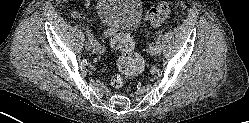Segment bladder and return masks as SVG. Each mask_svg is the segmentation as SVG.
I'll return each mask as SVG.
<instances>
[{"label": "bladder", "instance_id": "31cf9c89", "mask_svg": "<svg viewBox=\"0 0 249 123\" xmlns=\"http://www.w3.org/2000/svg\"><path fill=\"white\" fill-rule=\"evenodd\" d=\"M96 12L106 27L129 30L141 23L142 2L141 0H97Z\"/></svg>", "mask_w": 249, "mask_h": 123}]
</instances>
